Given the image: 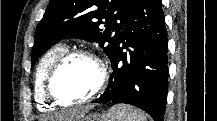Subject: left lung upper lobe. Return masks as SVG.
<instances>
[{
    "label": "left lung upper lobe",
    "instance_id": "left-lung-upper-lobe-1",
    "mask_svg": "<svg viewBox=\"0 0 217 121\" xmlns=\"http://www.w3.org/2000/svg\"><path fill=\"white\" fill-rule=\"evenodd\" d=\"M136 0H50L35 33L31 64L63 38L98 42L111 58Z\"/></svg>",
    "mask_w": 217,
    "mask_h": 121
}]
</instances>
